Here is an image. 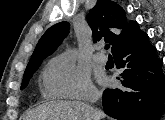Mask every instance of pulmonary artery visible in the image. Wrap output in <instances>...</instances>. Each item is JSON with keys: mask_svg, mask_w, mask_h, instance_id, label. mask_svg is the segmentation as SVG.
<instances>
[{"mask_svg": "<svg viewBox=\"0 0 165 120\" xmlns=\"http://www.w3.org/2000/svg\"><path fill=\"white\" fill-rule=\"evenodd\" d=\"M94 60H95L96 63L103 65V64L107 63L108 59H107V56L104 53L98 52V53L95 54Z\"/></svg>", "mask_w": 165, "mask_h": 120, "instance_id": "1", "label": "pulmonary artery"}]
</instances>
